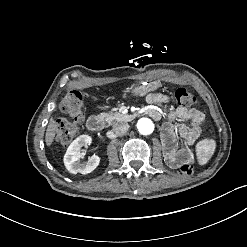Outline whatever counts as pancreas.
I'll return each mask as SVG.
<instances>
[{
	"label": "pancreas",
	"instance_id": "obj_1",
	"mask_svg": "<svg viewBox=\"0 0 247 247\" xmlns=\"http://www.w3.org/2000/svg\"><path fill=\"white\" fill-rule=\"evenodd\" d=\"M109 125H113L115 122L126 121L127 115L119 112L103 113L100 115Z\"/></svg>",
	"mask_w": 247,
	"mask_h": 247
}]
</instances>
